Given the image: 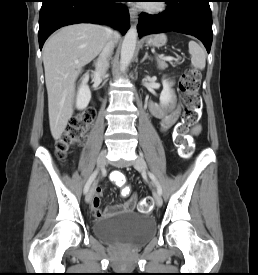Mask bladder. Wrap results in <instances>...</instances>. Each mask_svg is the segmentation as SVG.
<instances>
[{
	"label": "bladder",
	"mask_w": 258,
	"mask_h": 275,
	"mask_svg": "<svg viewBox=\"0 0 258 275\" xmlns=\"http://www.w3.org/2000/svg\"><path fill=\"white\" fill-rule=\"evenodd\" d=\"M93 233L104 240H123L137 246L154 237L156 221L151 216L136 212H122L95 220Z\"/></svg>",
	"instance_id": "1"
}]
</instances>
